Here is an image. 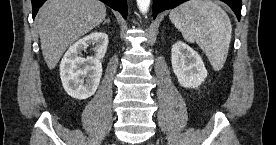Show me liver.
<instances>
[{
    "label": "liver",
    "instance_id": "obj_1",
    "mask_svg": "<svg viewBox=\"0 0 276 145\" xmlns=\"http://www.w3.org/2000/svg\"><path fill=\"white\" fill-rule=\"evenodd\" d=\"M106 6L99 0H48L40 8L37 28L44 60L54 69L65 50L100 25Z\"/></svg>",
    "mask_w": 276,
    "mask_h": 145
}]
</instances>
